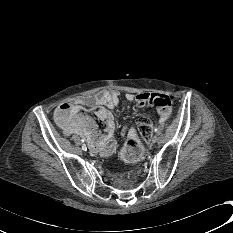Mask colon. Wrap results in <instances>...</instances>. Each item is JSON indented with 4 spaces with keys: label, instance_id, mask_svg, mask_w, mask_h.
Here are the masks:
<instances>
[{
    "label": "colon",
    "instance_id": "5ec220e1",
    "mask_svg": "<svg viewBox=\"0 0 233 233\" xmlns=\"http://www.w3.org/2000/svg\"><path fill=\"white\" fill-rule=\"evenodd\" d=\"M151 104L157 109H169L171 102L167 96L159 95L151 100ZM77 108L70 103H64L56 111V119L60 125L68 126L72 122V118L76 113ZM93 115L103 121L109 116L108 110L103 107L95 108L92 111ZM151 135V123L145 118L138 122V132L128 138L127 147H138L143 141L147 140Z\"/></svg>",
    "mask_w": 233,
    "mask_h": 233
}]
</instances>
